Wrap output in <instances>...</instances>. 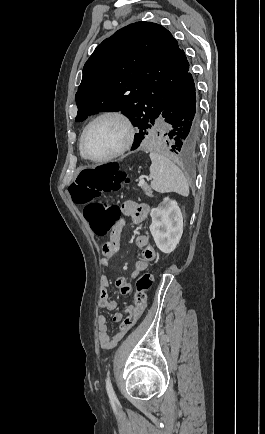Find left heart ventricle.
Wrapping results in <instances>:
<instances>
[{"mask_svg":"<svg viewBox=\"0 0 265 434\" xmlns=\"http://www.w3.org/2000/svg\"><path fill=\"white\" fill-rule=\"evenodd\" d=\"M125 135V126L120 120L102 119L89 130L84 140V152L94 159L109 156L122 146Z\"/></svg>","mask_w":265,"mask_h":434,"instance_id":"left-heart-ventricle-1","label":"left heart ventricle"}]
</instances>
